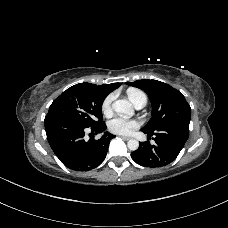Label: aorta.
Returning a JSON list of instances; mask_svg holds the SVG:
<instances>
[{"label":"aorta","instance_id":"aorta-1","mask_svg":"<svg viewBox=\"0 0 228 228\" xmlns=\"http://www.w3.org/2000/svg\"><path fill=\"white\" fill-rule=\"evenodd\" d=\"M112 107H113L114 111L117 112L120 116H123L126 118H129V117L133 116V114H134L132 104L128 100H125V99L116 100L112 104ZM127 146L131 151H135L139 147V142L135 139H130L127 142Z\"/></svg>","mask_w":228,"mask_h":228}]
</instances>
